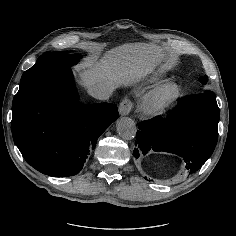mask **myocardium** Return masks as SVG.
I'll return each mask as SVG.
<instances>
[{
    "label": "myocardium",
    "mask_w": 236,
    "mask_h": 236,
    "mask_svg": "<svg viewBox=\"0 0 236 236\" xmlns=\"http://www.w3.org/2000/svg\"><path fill=\"white\" fill-rule=\"evenodd\" d=\"M179 96V88L175 84H164L144 94L138 111L145 118H156L164 114Z\"/></svg>",
    "instance_id": "f54148a6"
}]
</instances>
